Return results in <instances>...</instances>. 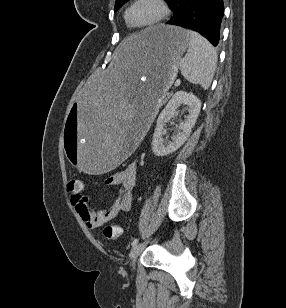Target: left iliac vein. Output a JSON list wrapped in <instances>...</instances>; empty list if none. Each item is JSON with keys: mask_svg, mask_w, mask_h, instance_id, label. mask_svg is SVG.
I'll return each mask as SVG.
<instances>
[{"mask_svg": "<svg viewBox=\"0 0 286 308\" xmlns=\"http://www.w3.org/2000/svg\"><path fill=\"white\" fill-rule=\"evenodd\" d=\"M148 241L142 242V243H137L135 246L130 251V258H131V266L134 268L136 260L138 256L141 254L145 246L147 245Z\"/></svg>", "mask_w": 286, "mask_h": 308, "instance_id": "obj_1", "label": "left iliac vein"}]
</instances>
